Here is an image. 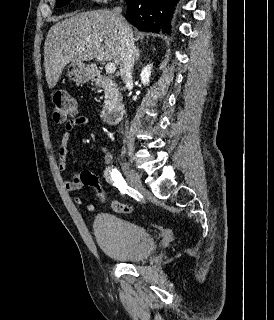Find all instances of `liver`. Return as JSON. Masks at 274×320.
Instances as JSON below:
<instances>
[{"label":"liver","mask_w":274,"mask_h":320,"mask_svg":"<svg viewBox=\"0 0 274 320\" xmlns=\"http://www.w3.org/2000/svg\"><path fill=\"white\" fill-rule=\"evenodd\" d=\"M51 26L44 44V68L49 88L56 86L70 62L121 64V38L111 10L70 14ZM104 42V44H102Z\"/></svg>","instance_id":"obj_1"}]
</instances>
